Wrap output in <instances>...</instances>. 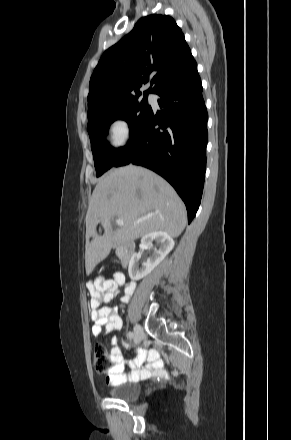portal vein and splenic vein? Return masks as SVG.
<instances>
[{"mask_svg": "<svg viewBox=\"0 0 291 440\" xmlns=\"http://www.w3.org/2000/svg\"><path fill=\"white\" fill-rule=\"evenodd\" d=\"M139 222H140V221L134 223V225H136V224L139 223ZM116 224H117L118 226L122 227V226H124V221L121 220V219H117V220H116Z\"/></svg>", "mask_w": 291, "mask_h": 440, "instance_id": "portal-vein-and-splenic-vein-1", "label": "portal vein and splenic vein"}]
</instances>
